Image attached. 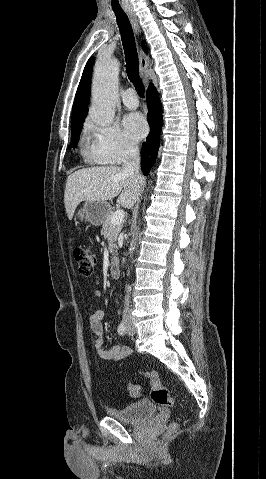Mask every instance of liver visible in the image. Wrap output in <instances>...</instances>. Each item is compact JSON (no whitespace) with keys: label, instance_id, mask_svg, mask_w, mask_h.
Masks as SVG:
<instances>
[{"label":"liver","instance_id":"1","mask_svg":"<svg viewBox=\"0 0 266 479\" xmlns=\"http://www.w3.org/2000/svg\"><path fill=\"white\" fill-rule=\"evenodd\" d=\"M145 179L125 173L118 166H96L80 169L67 178L64 203L71 220L82 201H107L120 194L117 202L124 208H132L138 201Z\"/></svg>","mask_w":266,"mask_h":479}]
</instances>
